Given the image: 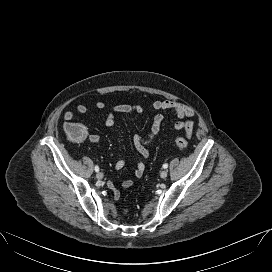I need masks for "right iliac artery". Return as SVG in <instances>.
<instances>
[{
    "label": "right iliac artery",
    "instance_id": "82829eb1",
    "mask_svg": "<svg viewBox=\"0 0 272 272\" xmlns=\"http://www.w3.org/2000/svg\"><path fill=\"white\" fill-rule=\"evenodd\" d=\"M95 171L98 172L99 171V167L96 165L95 166Z\"/></svg>",
    "mask_w": 272,
    "mask_h": 272
}]
</instances>
